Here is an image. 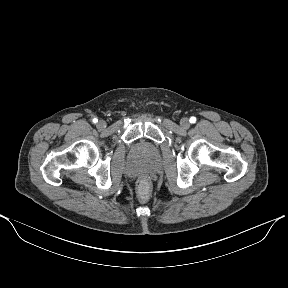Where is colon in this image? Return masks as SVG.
<instances>
[{
	"instance_id": "obj_1",
	"label": "colon",
	"mask_w": 288,
	"mask_h": 288,
	"mask_svg": "<svg viewBox=\"0 0 288 288\" xmlns=\"http://www.w3.org/2000/svg\"><path fill=\"white\" fill-rule=\"evenodd\" d=\"M139 197L143 200L147 199L150 194V185L146 180H142L138 186Z\"/></svg>"
}]
</instances>
